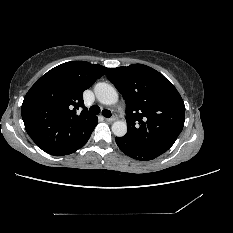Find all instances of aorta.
I'll return each mask as SVG.
<instances>
[{
	"label": "aorta",
	"instance_id": "aorta-1",
	"mask_svg": "<svg viewBox=\"0 0 233 233\" xmlns=\"http://www.w3.org/2000/svg\"><path fill=\"white\" fill-rule=\"evenodd\" d=\"M94 92L97 100L104 105H113L118 101L117 91L108 83H97ZM112 132L117 137H123L127 133V124L124 121H115L112 124Z\"/></svg>",
	"mask_w": 233,
	"mask_h": 233
}]
</instances>
